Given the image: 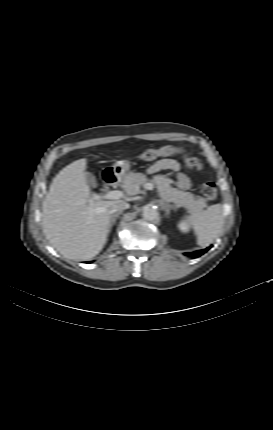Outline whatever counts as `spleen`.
<instances>
[{
	"label": "spleen",
	"mask_w": 273,
	"mask_h": 430,
	"mask_svg": "<svg viewBox=\"0 0 273 430\" xmlns=\"http://www.w3.org/2000/svg\"><path fill=\"white\" fill-rule=\"evenodd\" d=\"M185 220L192 226L198 245L205 248L214 241L223 228L224 206L212 205L201 213L185 216Z\"/></svg>",
	"instance_id": "spleen-1"
}]
</instances>
